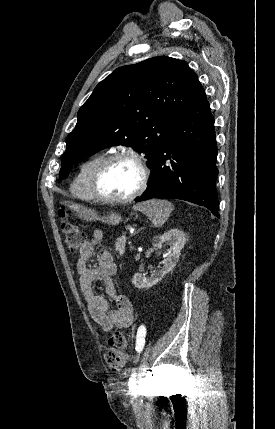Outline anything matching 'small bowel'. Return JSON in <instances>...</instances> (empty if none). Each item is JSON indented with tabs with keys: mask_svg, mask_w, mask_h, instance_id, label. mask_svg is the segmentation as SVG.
I'll use <instances>...</instances> for the list:
<instances>
[{
	"mask_svg": "<svg viewBox=\"0 0 275 429\" xmlns=\"http://www.w3.org/2000/svg\"><path fill=\"white\" fill-rule=\"evenodd\" d=\"M103 241V232L96 230L91 240L82 245L76 265L79 285L91 317L103 330L126 329L134 323V306L127 296L116 292L113 282L116 265L112 254L103 250L99 255L98 265L93 268L88 266L95 248L102 245ZM98 278L105 284L107 297L97 294L93 289V282ZM111 302H115V310H111Z\"/></svg>",
	"mask_w": 275,
	"mask_h": 429,
	"instance_id": "1",
	"label": "small bowel"
}]
</instances>
